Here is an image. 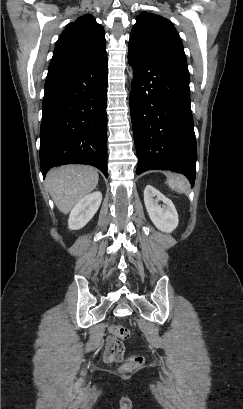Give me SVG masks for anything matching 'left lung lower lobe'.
<instances>
[{
    "label": "left lung lower lobe",
    "mask_w": 243,
    "mask_h": 409,
    "mask_svg": "<svg viewBox=\"0 0 243 409\" xmlns=\"http://www.w3.org/2000/svg\"><path fill=\"white\" fill-rule=\"evenodd\" d=\"M134 68L130 111L138 157L137 174L150 170L183 173L194 185L197 146L185 55L151 59L128 55Z\"/></svg>",
    "instance_id": "0a47b994"
}]
</instances>
